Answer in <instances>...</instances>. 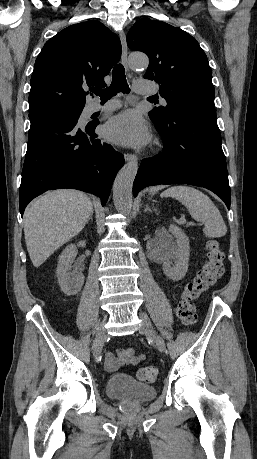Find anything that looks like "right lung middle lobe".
<instances>
[{
    "instance_id": "dd1d6c3e",
    "label": "right lung middle lobe",
    "mask_w": 257,
    "mask_h": 459,
    "mask_svg": "<svg viewBox=\"0 0 257 459\" xmlns=\"http://www.w3.org/2000/svg\"><path fill=\"white\" fill-rule=\"evenodd\" d=\"M82 110H83V107L56 108V109H49V110L32 113V114H29V117L34 116V115H59L62 117H79Z\"/></svg>"
}]
</instances>
